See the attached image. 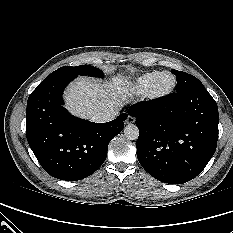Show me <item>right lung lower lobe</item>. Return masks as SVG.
Segmentation results:
<instances>
[{
    "instance_id": "1",
    "label": "right lung lower lobe",
    "mask_w": 233,
    "mask_h": 233,
    "mask_svg": "<svg viewBox=\"0 0 233 233\" xmlns=\"http://www.w3.org/2000/svg\"><path fill=\"white\" fill-rule=\"evenodd\" d=\"M62 76L41 83L29 96L26 137L34 155L51 176L76 181L94 173L105 161L109 142L124 128L126 113L106 123L72 116L62 93L74 79Z\"/></svg>"
}]
</instances>
